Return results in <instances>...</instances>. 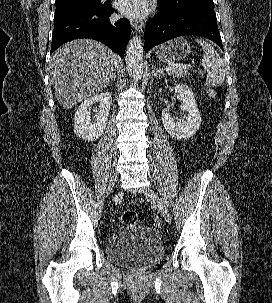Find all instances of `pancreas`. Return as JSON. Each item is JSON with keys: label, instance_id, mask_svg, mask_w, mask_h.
Listing matches in <instances>:
<instances>
[{"label": "pancreas", "instance_id": "obj_1", "mask_svg": "<svg viewBox=\"0 0 272 303\" xmlns=\"http://www.w3.org/2000/svg\"><path fill=\"white\" fill-rule=\"evenodd\" d=\"M167 74L169 76L178 77V78L182 76H187V72L183 71V69H171L167 71Z\"/></svg>", "mask_w": 272, "mask_h": 303}]
</instances>
